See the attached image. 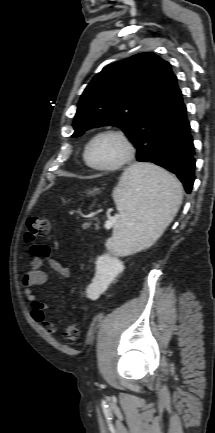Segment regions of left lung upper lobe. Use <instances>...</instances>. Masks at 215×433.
<instances>
[{
    "label": "left lung upper lobe",
    "mask_w": 215,
    "mask_h": 433,
    "mask_svg": "<svg viewBox=\"0 0 215 433\" xmlns=\"http://www.w3.org/2000/svg\"><path fill=\"white\" fill-rule=\"evenodd\" d=\"M180 94L170 64L154 53L110 64L83 92L72 137L90 128L117 126L137 148V160L152 162Z\"/></svg>",
    "instance_id": "1"
}]
</instances>
